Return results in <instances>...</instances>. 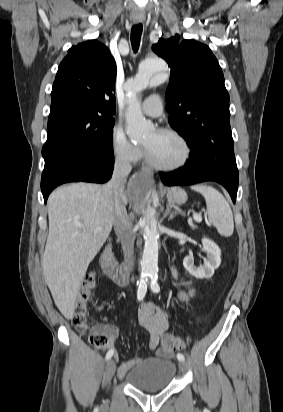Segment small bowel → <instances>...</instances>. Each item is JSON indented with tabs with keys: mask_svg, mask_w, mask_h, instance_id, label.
Instances as JSON below:
<instances>
[{
	"mask_svg": "<svg viewBox=\"0 0 283 412\" xmlns=\"http://www.w3.org/2000/svg\"><path fill=\"white\" fill-rule=\"evenodd\" d=\"M173 276L177 277L176 269L172 270ZM184 290L180 293V299L184 302L189 301L195 296V289L188 283L182 282ZM105 303H101L96 307V311H102L105 308ZM169 313L160 307H156L150 302H143L138 309V320L140 325L149 333L148 347L151 351H155L158 356H168L165 352L159 349V343L169 326ZM100 328L108 337V348L114 351V345L120 336V329L111 324H105ZM170 355V354H169ZM116 358L117 355H116ZM144 360L143 357H136L131 360L122 362L119 366V377L123 378L125 374L133 367L137 366Z\"/></svg>",
	"mask_w": 283,
	"mask_h": 412,
	"instance_id": "1",
	"label": "small bowel"
}]
</instances>
